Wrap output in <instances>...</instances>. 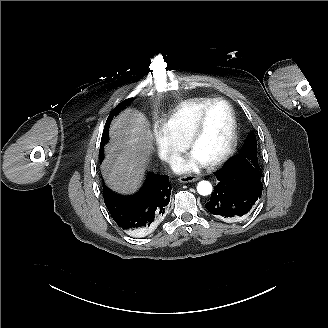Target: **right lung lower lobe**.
<instances>
[{
	"label": "right lung lower lobe",
	"instance_id": "98d812e1",
	"mask_svg": "<svg viewBox=\"0 0 328 328\" xmlns=\"http://www.w3.org/2000/svg\"><path fill=\"white\" fill-rule=\"evenodd\" d=\"M168 176L149 173L142 189L124 197L103 187L104 202L117 225L126 231L148 228L165 212L170 201Z\"/></svg>",
	"mask_w": 328,
	"mask_h": 328
}]
</instances>
